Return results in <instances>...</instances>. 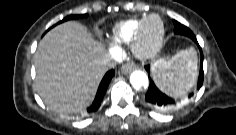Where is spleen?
I'll return each mask as SVG.
<instances>
[{
  "mask_svg": "<svg viewBox=\"0 0 236 135\" xmlns=\"http://www.w3.org/2000/svg\"><path fill=\"white\" fill-rule=\"evenodd\" d=\"M197 74V53L193 47L180 50L170 59H162L152 66L158 88L174 97L185 95L195 84Z\"/></svg>",
  "mask_w": 236,
  "mask_h": 135,
  "instance_id": "obj_1",
  "label": "spleen"
}]
</instances>
